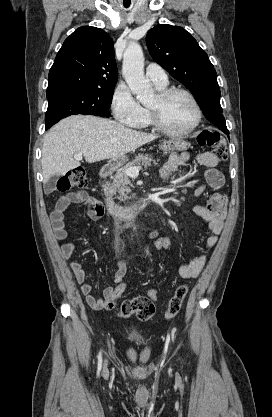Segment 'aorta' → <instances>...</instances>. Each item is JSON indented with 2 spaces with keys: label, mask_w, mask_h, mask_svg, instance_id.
I'll return each mask as SVG.
<instances>
[{
  "label": "aorta",
  "mask_w": 272,
  "mask_h": 417,
  "mask_svg": "<svg viewBox=\"0 0 272 417\" xmlns=\"http://www.w3.org/2000/svg\"><path fill=\"white\" fill-rule=\"evenodd\" d=\"M122 74L132 93L143 105L154 100L152 86L144 75V55L139 43L131 42L127 46L123 56Z\"/></svg>",
  "instance_id": "obj_1"
}]
</instances>
